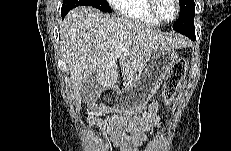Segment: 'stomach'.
Masks as SVG:
<instances>
[{
	"instance_id": "obj_1",
	"label": "stomach",
	"mask_w": 231,
	"mask_h": 151,
	"mask_svg": "<svg viewBox=\"0 0 231 151\" xmlns=\"http://www.w3.org/2000/svg\"><path fill=\"white\" fill-rule=\"evenodd\" d=\"M177 59L178 54L174 49L154 51L123 89L111 88L108 105L126 115L141 111L156 94Z\"/></svg>"
}]
</instances>
